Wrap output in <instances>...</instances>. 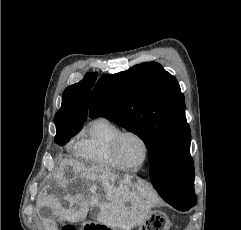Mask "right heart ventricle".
I'll use <instances>...</instances> for the list:
<instances>
[{
  "label": "right heart ventricle",
  "instance_id": "1",
  "mask_svg": "<svg viewBox=\"0 0 241 230\" xmlns=\"http://www.w3.org/2000/svg\"><path fill=\"white\" fill-rule=\"evenodd\" d=\"M119 131V126L107 117L93 119L77 145V156L89 163L118 167L112 156L111 145Z\"/></svg>",
  "mask_w": 241,
  "mask_h": 230
}]
</instances>
